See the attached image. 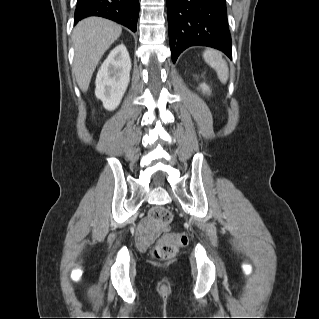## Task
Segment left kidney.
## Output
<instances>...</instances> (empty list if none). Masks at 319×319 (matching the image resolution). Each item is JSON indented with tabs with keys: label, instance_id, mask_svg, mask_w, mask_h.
Segmentation results:
<instances>
[{
	"label": "left kidney",
	"instance_id": "left-kidney-1",
	"mask_svg": "<svg viewBox=\"0 0 319 319\" xmlns=\"http://www.w3.org/2000/svg\"><path fill=\"white\" fill-rule=\"evenodd\" d=\"M201 88H202L203 92H210L209 87L205 83L201 85Z\"/></svg>",
	"mask_w": 319,
	"mask_h": 319
}]
</instances>
